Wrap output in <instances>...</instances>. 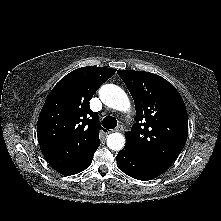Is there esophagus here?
Wrapping results in <instances>:
<instances>
[{"label":"esophagus","mask_w":221,"mask_h":221,"mask_svg":"<svg viewBox=\"0 0 221 221\" xmlns=\"http://www.w3.org/2000/svg\"><path fill=\"white\" fill-rule=\"evenodd\" d=\"M121 131H123V126L122 125H119L117 128H115L113 130V132H121Z\"/></svg>","instance_id":"obj_1"}]
</instances>
